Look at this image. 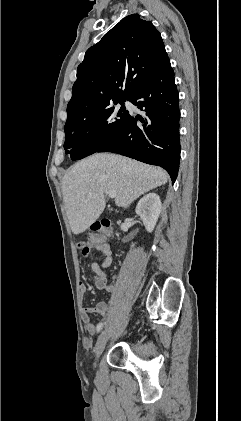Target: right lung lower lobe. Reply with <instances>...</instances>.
Returning a JSON list of instances; mask_svg holds the SVG:
<instances>
[{
  "mask_svg": "<svg viewBox=\"0 0 241 421\" xmlns=\"http://www.w3.org/2000/svg\"><path fill=\"white\" fill-rule=\"evenodd\" d=\"M129 99L146 112L145 119L130 115L119 134L97 152H114L160 166L175 182L180 159V109L168 56ZM138 120L143 123L142 127L137 126Z\"/></svg>",
  "mask_w": 241,
  "mask_h": 421,
  "instance_id": "98d812e1",
  "label": "right lung lower lobe"
}]
</instances>
